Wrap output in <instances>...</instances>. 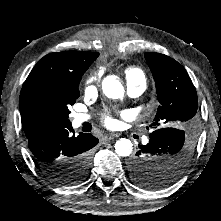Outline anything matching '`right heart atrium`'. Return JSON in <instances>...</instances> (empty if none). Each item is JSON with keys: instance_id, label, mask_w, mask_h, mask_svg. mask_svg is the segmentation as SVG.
I'll return each instance as SVG.
<instances>
[{"instance_id": "d8ad5b80", "label": "right heart atrium", "mask_w": 221, "mask_h": 221, "mask_svg": "<svg viewBox=\"0 0 221 221\" xmlns=\"http://www.w3.org/2000/svg\"><path fill=\"white\" fill-rule=\"evenodd\" d=\"M100 83V77L97 73L90 74L85 81V91L88 93L96 90Z\"/></svg>"}]
</instances>
